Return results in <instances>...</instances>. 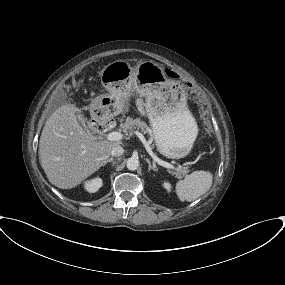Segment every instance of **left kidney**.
<instances>
[{
    "mask_svg": "<svg viewBox=\"0 0 285 285\" xmlns=\"http://www.w3.org/2000/svg\"><path fill=\"white\" fill-rule=\"evenodd\" d=\"M163 186H164V188H165L168 192L171 191V185H170L169 182H164V183H163Z\"/></svg>",
    "mask_w": 285,
    "mask_h": 285,
    "instance_id": "5707ae66",
    "label": "left kidney"
}]
</instances>
